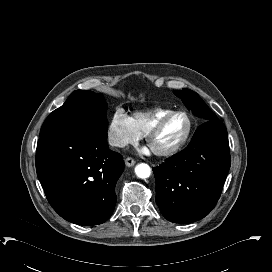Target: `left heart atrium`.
Returning <instances> with one entry per match:
<instances>
[{
    "instance_id": "obj_1",
    "label": "left heart atrium",
    "mask_w": 272,
    "mask_h": 272,
    "mask_svg": "<svg viewBox=\"0 0 272 272\" xmlns=\"http://www.w3.org/2000/svg\"><path fill=\"white\" fill-rule=\"evenodd\" d=\"M151 149V148H150ZM149 151V149H145L144 152L147 153Z\"/></svg>"
}]
</instances>
